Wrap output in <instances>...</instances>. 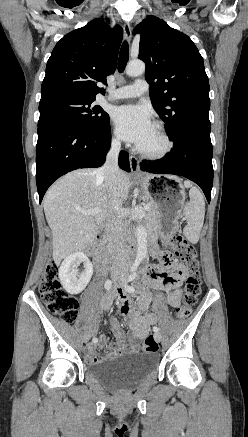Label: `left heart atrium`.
Instances as JSON below:
<instances>
[{
	"mask_svg": "<svg viewBox=\"0 0 248 437\" xmlns=\"http://www.w3.org/2000/svg\"><path fill=\"white\" fill-rule=\"evenodd\" d=\"M113 122L119 136L139 145L153 128L149 111L140 105H123L113 112Z\"/></svg>",
	"mask_w": 248,
	"mask_h": 437,
	"instance_id": "39dd6f15",
	"label": "left heart atrium"
}]
</instances>
